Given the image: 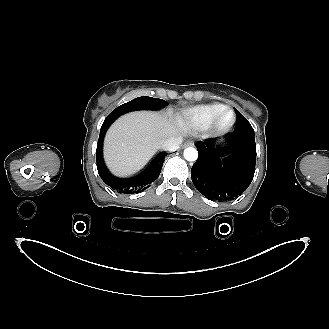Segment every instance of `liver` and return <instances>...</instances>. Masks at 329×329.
<instances>
[{
  "label": "liver",
  "instance_id": "obj_1",
  "mask_svg": "<svg viewBox=\"0 0 329 329\" xmlns=\"http://www.w3.org/2000/svg\"><path fill=\"white\" fill-rule=\"evenodd\" d=\"M179 135V127L168 113L141 111L125 114L106 133V163L116 176L133 175L156 154L163 141Z\"/></svg>",
  "mask_w": 329,
  "mask_h": 329
}]
</instances>
